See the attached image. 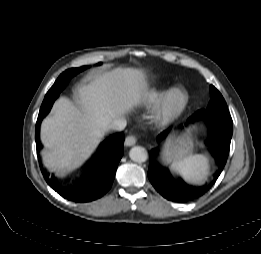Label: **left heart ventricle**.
<instances>
[{"mask_svg": "<svg viewBox=\"0 0 261 254\" xmlns=\"http://www.w3.org/2000/svg\"><path fill=\"white\" fill-rule=\"evenodd\" d=\"M179 101V96H174L173 98V104H176Z\"/></svg>", "mask_w": 261, "mask_h": 254, "instance_id": "left-heart-ventricle-1", "label": "left heart ventricle"}]
</instances>
